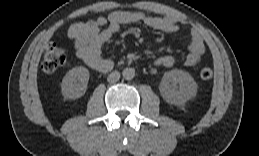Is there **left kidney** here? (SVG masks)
Returning <instances> with one entry per match:
<instances>
[{
    "mask_svg": "<svg viewBox=\"0 0 259 156\" xmlns=\"http://www.w3.org/2000/svg\"><path fill=\"white\" fill-rule=\"evenodd\" d=\"M198 85L185 71L174 69L164 73L159 90L162 98L169 104L183 105L197 94Z\"/></svg>",
    "mask_w": 259,
    "mask_h": 156,
    "instance_id": "1",
    "label": "left kidney"
}]
</instances>
